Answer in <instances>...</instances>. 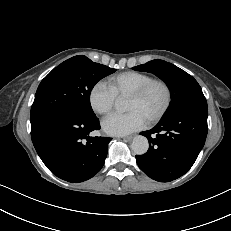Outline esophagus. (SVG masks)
I'll return each mask as SVG.
<instances>
[{
  "label": "esophagus",
  "instance_id": "1",
  "mask_svg": "<svg viewBox=\"0 0 231 231\" xmlns=\"http://www.w3.org/2000/svg\"><path fill=\"white\" fill-rule=\"evenodd\" d=\"M123 140L129 141L132 139V136L121 137Z\"/></svg>",
  "mask_w": 231,
  "mask_h": 231
}]
</instances>
